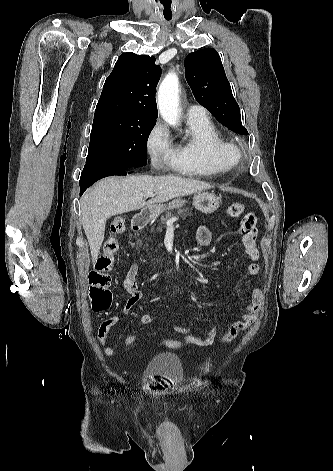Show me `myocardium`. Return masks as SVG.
Returning <instances> with one entry per match:
<instances>
[{"label":"myocardium","mask_w":333,"mask_h":471,"mask_svg":"<svg viewBox=\"0 0 333 471\" xmlns=\"http://www.w3.org/2000/svg\"><path fill=\"white\" fill-rule=\"evenodd\" d=\"M230 156H231V158L234 162L238 161L241 158V152L236 146H231L230 147Z\"/></svg>","instance_id":"obj_1"}]
</instances>
